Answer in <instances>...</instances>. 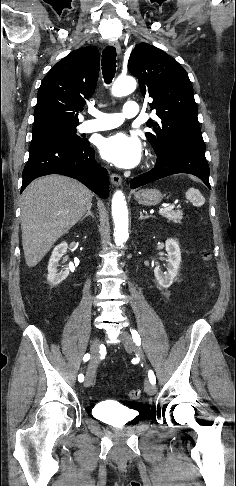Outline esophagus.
<instances>
[{
	"mask_svg": "<svg viewBox=\"0 0 236 486\" xmlns=\"http://www.w3.org/2000/svg\"><path fill=\"white\" fill-rule=\"evenodd\" d=\"M110 44L116 49L118 54L121 53V47L118 41L111 42ZM110 179L115 186H120L122 184V178L118 174L112 173Z\"/></svg>",
	"mask_w": 236,
	"mask_h": 486,
	"instance_id": "esophagus-1",
	"label": "esophagus"
}]
</instances>
